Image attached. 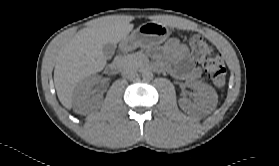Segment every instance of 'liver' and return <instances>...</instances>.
Listing matches in <instances>:
<instances>
[{
    "label": "liver",
    "instance_id": "liver-1",
    "mask_svg": "<svg viewBox=\"0 0 279 166\" xmlns=\"http://www.w3.org/2000/svg\"><path fill=\"white\" fill-rule=\"evenodd\" d=\"M132 29L133 24L125 16H107L79 30L64 44L54 69L57 96L64 107L71 109L73 92L79 82L104 69L103 45L122 41Z\"/></svg>",
    "mask_w": 279,
    "mask_h": 166
}]
</instances>
